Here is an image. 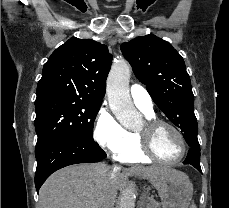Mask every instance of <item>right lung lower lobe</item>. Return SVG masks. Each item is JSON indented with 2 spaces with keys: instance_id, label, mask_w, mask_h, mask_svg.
Listing matches in <instances>:
<instances>
[{
  "instance_id": "98d812e1",
  "label": "right lung lower lobe",
  "mask_w": 229,
  "mask_h": 208,
  "mask_svg": "<svg viewBox=\"0 0 229 208\" xmlns=\"http://www.w3.org/2000/svg\"><path fill=\"white\" fill-rule=\"evenodd\" d=\"M37 168L35 186L37 192L44 181L56 170L77 163L99 162L106 153L98 144L76 135H60L52 138L35 151Z\"/></svg>"
}]
</instances>
